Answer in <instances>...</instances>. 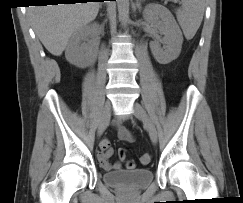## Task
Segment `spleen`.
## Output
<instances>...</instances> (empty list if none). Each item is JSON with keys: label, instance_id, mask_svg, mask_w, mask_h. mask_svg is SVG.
<instances>
[{"label": "spleen", "instance_id": "1", "mask_svg": "<svg viewBox=\"0 0 243 203\" xmlns=\"http://www.w3.org/2000/svg\"><path fill=\"white\" fill-rule=\"evenodd\" d=\"M204 8V0H182L176 16L186 39L190 40L196 34L203 20Z\"/></svg>", "mask_w": 243, "mask_h": 203}]
</instances>
